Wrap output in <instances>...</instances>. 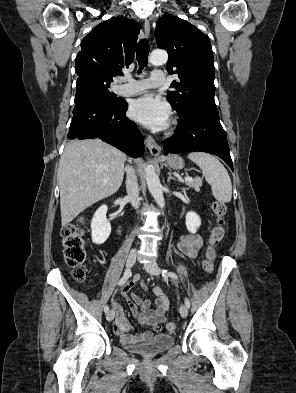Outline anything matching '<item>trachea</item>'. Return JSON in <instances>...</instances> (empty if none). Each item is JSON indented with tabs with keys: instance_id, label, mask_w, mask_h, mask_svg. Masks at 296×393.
I'll list each match as a JSON object with an SVG mask.
<instances>
[{
	"instance_id": "3493384b",
	"label": "trachea",
	"mask_w": 296,
	"mask_h": 393,
	"mask_svg": "<svg viewBox=\"0 0 296 393\" xmlns=\"http://www.w3.org/2000/svg\"><path fill=\"white\" fill-rule=\"evenodd\" d=\"M148 54H149V41L147 39H142L138 43L137 53H136V58L140 68L139 71H141L144 67L147 66Z\"/></svg>"
}]
</instances>
